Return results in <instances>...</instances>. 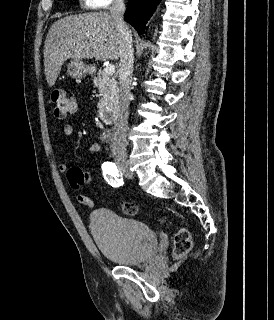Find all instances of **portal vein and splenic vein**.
<instances>
[{
	"label": "portal vein and splenic vein",
	"instance_id": "portal-vein-and-splenic-vein-1",
	"mask_svg": "<svg viewBox=\"0 0 274 320\" xmlns=\"http://www.w3.org/2000/svg\"><path fill=\"white\" fill-rule=\"evenodd\" d=\"M103 74H109V76H113V74H115V66H112V64H108V66L104 68Z\"/></svg>",
	"mask_w": 274,
	"mask_h": 320
}]
</instances>
